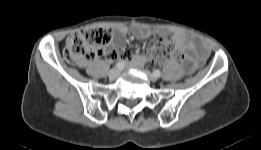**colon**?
<instances>
[{
    "instance_id": "colon-1",
    "label": "colon",
    "mask_w": 261,
    "mask_h": 150,
    "mask_svg": "<svg viewBox=\"0 0 261 150\" xmlns=\"http://www.w3.org/2000/svg\"><path fill=\"white\" fill-rule=\"evenodd\" d=\"M110 30L100 27H90L72 33L66 40L63 50L64 60L71 65L85 66L97 56L107 54L105 47L111 41ZM153 61L184 60V53L170 38L157 40L149 51Z\"/></svg>"
}]
</instances>
